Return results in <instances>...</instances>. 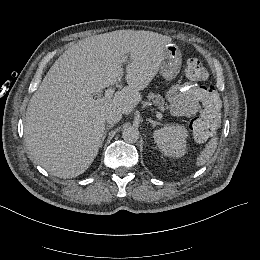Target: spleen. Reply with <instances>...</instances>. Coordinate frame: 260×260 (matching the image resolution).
<instances>
[{
	"label": "spleen",
	"mask_w": 260,
	"mask_h": 260,
	"mask_svg": "<svg viewBox=\"0 0 260 260\" xmlns=\"http://www.w3.org/2000/svg\"><path fill=\"white\" fill-rule=\"evenodd\" d=\"M218 144V138L213 137L210 141L205 145V148L200 153L199 157H197L196 165L203 166L210 159V157L214 154Z\"/></svg>",
	"instance_id": "spleen-1"
}]
</instances>
